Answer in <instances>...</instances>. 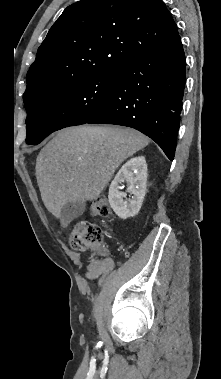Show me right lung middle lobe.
Listing matches in <instances>:
<instances>
[{
  "instance_id": "obj_1",
  "label": "right lung middle lobe",
  "mask_w": 221,
  "mask_h": 379,
  "mask_svg": "<svg viewBox=\"0 0 221 379\" xmlns=\"http://www.w3.org/2000/svg\"><path fill=\"white\" fill-rule=\"evenodd\" d=\"M118 69L76 78L53 87L25 104L27 144H38L50 133L84 124L111 99Z\"/></svg>"
}]
</instances>
